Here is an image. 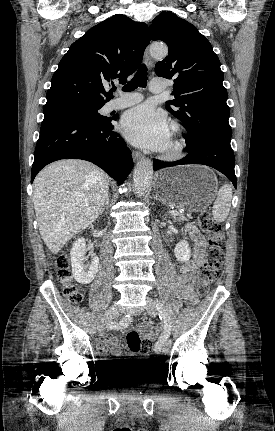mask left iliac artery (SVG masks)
<instances>
[{"label":"left iliac artery","instance_id":"left-iliac-artery-1","mask_svg":"<svg viewBox=\"0 0 275 431\" xmlns=\"http://www.w3.org/2000/svg\"><path fill=\"white\" fill-rule=\"evenodd\" d=\"M157 309L159 312V318L164 322V331L161 334L160 338L158 339L157 343L155 344L154 350L155 352H161L163 345L168 340L171 334V320L164 305L161 303V301H158V300H157Z\"/></svg>","mask_w":275,"mask_h":431}]
</instances>
